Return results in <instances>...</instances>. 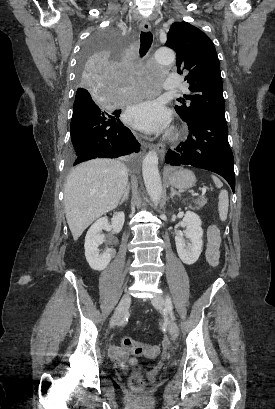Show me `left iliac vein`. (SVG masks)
Returning a JSON list of instances; mask_svg holds the SVG:
<instances>
[{"label":"left iliac vein","instance_id":"1","mask_svg":"<svg viewBox=\"0 0 275 409\" xmlns=\"http://www.w3.org/2000/svg\"><path fill=\"white\" fill-rule=\"evenodd\" d=\"M152 305L159 310H163L165 307V301L162 296H155L151 298ZM168 331L173 340H176L179 335V328L176 321L173 318H168Z\"/></svg>","mask_w":275,"mask_h":409}]
</instances>
